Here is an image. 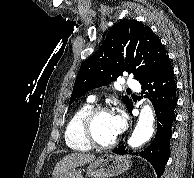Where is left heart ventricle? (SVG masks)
Returning a JSON list of instances; mask_svg holds the SVG:
<instances>
[{"label": "left heart ventricle", "mask_w": 194, "mask_h": 178, "mask_svg": "<svg viewBox=\"0 0 194 178\" xmlns=\"http://www.w3.org/2000/svg\"><path fill=\"white\" fill-rule=\"evenodd\" d=\"M93 134L101 143L112 141L117 136L113 127V114H99L93 123Z\"/></svg>", "instance_id": "1"}]
</instances>
